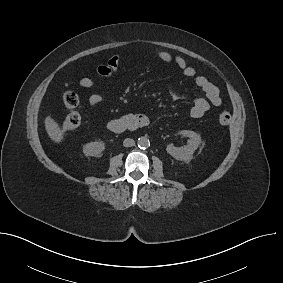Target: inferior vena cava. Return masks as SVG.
Listing matches in <instances>:
<instances>
[{"label": "inferior vena cava", "mask_w": 283, "mask_h": 283, "mask_svg": "<svg viewBox=\"0 0 283 283\" xmlns=\"http://www.w3.org/2000/svg\"><path fill=\"white\" fill-rule=\"evenodd\" d=\"M135 145V141L131 138H126L124 141H123V146L124 147H132Z\"/></svg>", "instance_id": "inferior-vena-cava-1"}]
</instances>
